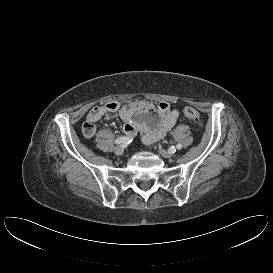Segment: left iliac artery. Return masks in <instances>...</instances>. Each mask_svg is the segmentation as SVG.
<instances>
[{
  "mask_svg": "<svg viewBox=\"0 0 273 273\" xmlns=\"http://www.w3.org/2000/svg\"><path fill=\"white\" fill-rule=\"evenodd\" d=\"M176 149H178V150L182 149V144H177ZM176 149L174 147H172L169 151L172 153H175Z\"/></svg>",
  "mask_w": 273,
  "mask_h": 273,
  "instance_id": "44dca946",
  "label": "left iliac artery"
}]
</instances>
